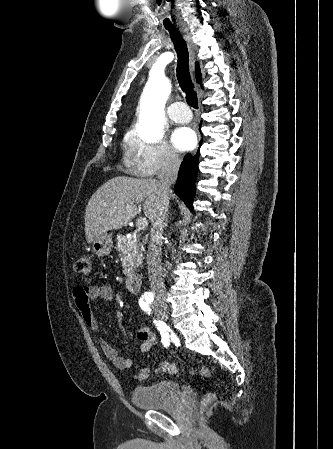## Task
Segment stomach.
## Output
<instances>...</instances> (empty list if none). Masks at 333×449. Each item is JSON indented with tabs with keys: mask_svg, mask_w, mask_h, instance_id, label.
<instances>
[{
	"mask_svg": "<svg viewBox=\"0 0 333 449\" xmlns=\"http://www.w3.org/2000/svg\"><path fill=\"white\" fill-rule=\"evenodd\" d=\"M112 247V237L107 233L99 235L95 240L92 241V249L98 256L108 255L111 252Z\"/></svg>",
	"mask_w": 333,
	"mask_h": 449,
	"instance_id": "0dacf381",
	"label": "stomach"
}]
</instances>
